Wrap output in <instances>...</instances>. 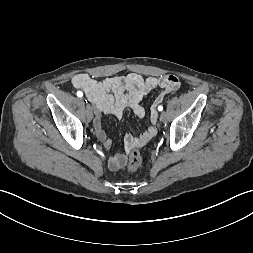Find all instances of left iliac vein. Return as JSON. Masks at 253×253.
<instances>
[{"label":"left iliac vein","mask_w":253,"mask_h":253,"mask_svg":"<svg viewBox=\"0 0 253 253\" xmlns=\"http://www.w3.org/2000/svg\"><path fill=\"white\" fill-rule=\"evenodd\" d=\"M166 119H167V114L165 112H162L160 114V120L164 122V121H166Z\"/></svg>","instance_id":"left-iliac-vein-1"}]
</instances>
